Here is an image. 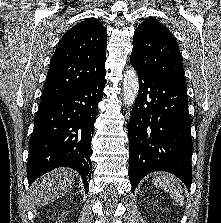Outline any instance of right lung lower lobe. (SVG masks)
<instances>
[{
  "label": "right lung lower lobe",
  "mask_w": 221,
  "mask_h": 223,
  "mask_svg": "<svg viewBox=\"0 0 221 223\" xmlns=\"http://www.w3.org/2000/svg\"><path fill=\"white\" fill-rule=\"evenodd\" d=\"M106 72L64 93L41 99L29 140V184L57 167L75 169L88 192L91 138Z\"/></svg>",
  "instance_id": "right-lung-lower-lobe-1"
}]
</instances>
